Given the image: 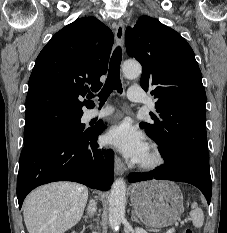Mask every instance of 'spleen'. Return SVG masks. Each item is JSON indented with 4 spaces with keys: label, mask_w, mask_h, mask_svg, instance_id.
<instances>
[{
    "label": "spleen",
    "mask_w": 227,
    "mask_h": 233,
    "mask_svg": "<svg viewBox=\"0 0 227 233\" xmlns=\"http://www.w3.org/2000/svg\"><path fill=\"white\" fill-rule=\"evenodd\" d=\"M192 210L190 211V217L193 222V225L196 228H200L204 222V214L201 208L198 207L196 202H193L191 205Z\"/></svg>",
    "instance_id": "3e777b00"
}]
</instances>
